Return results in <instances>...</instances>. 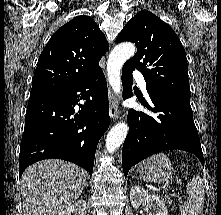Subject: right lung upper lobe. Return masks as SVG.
<instances>
[{"mask_svg": "<svg viewBox=\"0 0 221 215\" xmlns=\"http://www.w3.org/2000/svg\"><path fill=\"white\" fill-rule=\"evenodd\" d=\"M109 44L95 21L77 16L59 28L40 54L30 98L60 91L91 75Z\"/></svg>", "mask_w": 221, "mask_h": 215, "instance_id": "right-lung-upper-lobe-1", "label": "right lung upper lobe"}]
</instances>
